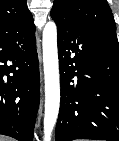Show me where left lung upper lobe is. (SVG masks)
<instances>
[{
  "label": "left lung upper lobe",
  "instance_id": "left-lung-upper-lobe-1",
  "mask_svg": "<svg viewBox=\"0 0 119 141\" xmlns=\"http://www.w3.org/2000/svg\"><path fill=\"white\" fill-rule=\"evenodd\" d=\"M51 16L56 21L117 39L116 24L106 0H54Z\"/></svg>",
  "mask_w": 119,
  "mask_h": 141
}]
</instances>
